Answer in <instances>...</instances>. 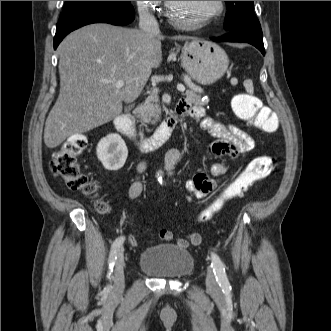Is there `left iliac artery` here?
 Segmentation results:
<instances>
[{"instance_id": "obj_1", "label": "left iliac artery", "mask_w": 331, "mask_h": 331, "mask_svg": "<svg viewBox=\"0 0 331 331\" xmlns=\"http://www.w3.org/2000/svg\"><path fill=\"white\" fill-rule=\"evenodd\" d=\"M161 183H162V178L159 177L158 179ZM212 258V263H211V267L213 268V272L215 274L216 280L219 284V286L223 289V290H228L231 289V286L229 284L226 272H225V266L223 264V262L221 261V259L219 258V256L217 254H212L211 255Z\"/></svg>"}]
</instances>
